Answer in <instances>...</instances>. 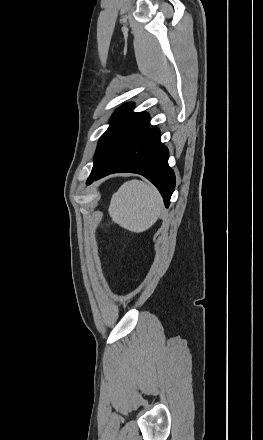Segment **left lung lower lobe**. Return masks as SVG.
<instances>
[{
	"label": "left lung lower lobe",
	"mask_w": 263,
	"mask_h": 440,
	"mask_svg": "<svg viewBox=\"0 0 263 440\" xmlns=\"http://www.w3.org/2000/svg\"><path fill=\"white\" fill-rule=\"evenodd\" d=\"M168 157V149L160 141L159 129L150 125L146 112H139L128 125L109 161L101 171L90 174L87 185L111 173H138L158 188L168 207L175 187V175L168 165Z\"/></svg>",
	"instance_id": "left-lung-lower-lobe-1"
}]
</instances>
